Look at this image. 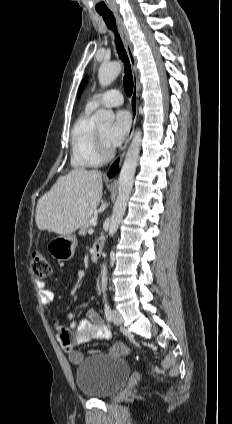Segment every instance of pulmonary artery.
Listing matches in <instances>:
<instances>
[{"label": "pulmonary artery", "mask_w": 232, "mask_h": 424, "mask_svg": "<svg viewBox=\"0 0 232 424\" xmlns=\"http://www.w3.org/2000/svg\"><path fill=\"white\" fill-rule=\"evenodd\" d=\"M124 98L118 90H108L95 95L88 103L87 108L95 110L99 107H118L123 104Z\"/></svg>", "instance_id": "obj_1"}]
</instances>
